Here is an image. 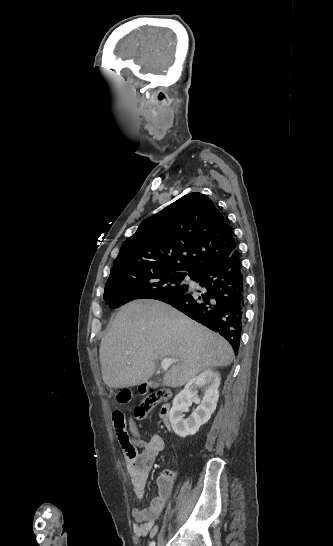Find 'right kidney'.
Listing matches in <instances>:
<instances>
[{"instance_id": "ca27d5eb", "label": "right kidney", "mask_w": 333, "mask_h": 546, "mask_svg": "<svg viewBox=\"0 0 333 546\" xmlns=\"http://www.w3.org/2000/svg\"><path fill=\"white\" fill-rule=\"evenodd\" d=\"M220 374L213 369H207L192 378L173 400V406L169 413L173 431L180 437L194 435L199 428L207 423L215 411L219 398L218 387ZM204 390L202 403L192 412L191 416L184 419V413L188 412L192 404V398L196 396L198 389Z\"/></svg>"}]
</instances>
